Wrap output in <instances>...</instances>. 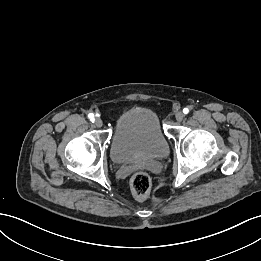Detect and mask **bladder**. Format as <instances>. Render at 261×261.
I'll list each match as a JSON object with an SVG mask.
<instances>
[{
  "label": "bladder",
  "instance_id": "1",
  "mask_svg": "<svg viewBox=\"0 0 261 261\" xmlns=\"http://www.w3.org/2000/svg\"><path fill=\"white\" fill-rule=\"evenodd\" d=\"M109 151L117 164L166 156L169 142L158 115L143 107L124 112L115 123Z\"/></svg>",
  "mask_w": 261,
  "mask_h": 261
}]
</instances>
